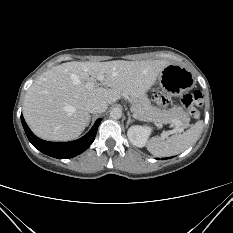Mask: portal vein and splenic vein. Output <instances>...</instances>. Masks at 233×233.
I'll use <instances>...</instances> for the list:
<instances>
[{
    "label": "portal vein and splenic vein",
    "mask_w": 233,
    "mask_h": 233,
    "mask_svg": "<svg viewBox=\"0 0 233 233\" xmlns=\"http://www.w3.org/2000/svg\"><path fill=\"white\" fill-rule=\"evenodd\" d=\"M98 80H99V81L103 80V76H102V75H99V76H98ZM97 85H99V84H97ZM155 123H156V122H155ZM173 123L176 125L177 129H176V130H170V131H168V132H165L164 134H162V138L167 137L169 134H174V133H176V132H182V131L184 130L183 127L181 126V125H182V122L175 120V121H173Z\"/></svg>",
    "instance_id": "18ae733b"
}]
</instances>
